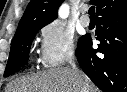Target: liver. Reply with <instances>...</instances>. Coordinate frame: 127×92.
Returning a JSON list of instances; mask_svg holds the SVG:
<instances>
[{"label":"liver","mask_w":127,"mask_h":92,"mask_svg":"<svg viewBox=\"0 0 127 92\" xmlns=\"http://www.w3.org/2000/svg\"><path fill=\"white\" fill-rule=\"evenodd\" d=\"M100 92L82 71L69 68H53L17 78L10 82L5 92Z\"/></svg>","instance_id":"1"}]
</instances>
